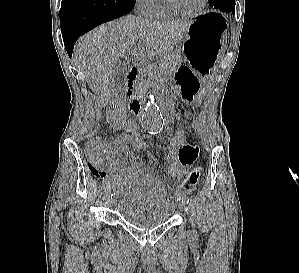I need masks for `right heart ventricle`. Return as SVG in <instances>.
<instances>
[{
	"instance_id": "e07e8e85",
	"label": "right heart ventricle",
	"mask_w": 299,
	"mask_h": 273,
	"mask_svg": "<svg viewBox=\"0 0 299 273\" xmlns=\"http://www.w3.org/2000/svg\"><path fill=\"white\" fill-rule=\"evenodd\" d=\"M146 15L152 18H167L173 16L174 13L167 7L164 0H158Z\"/></svg>"
}]
</instances>
